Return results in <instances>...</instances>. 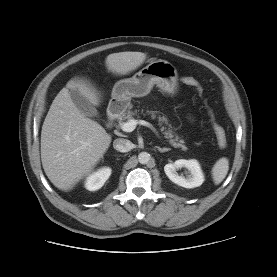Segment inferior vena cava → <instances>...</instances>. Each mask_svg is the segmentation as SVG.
Instances as JSON below:
<instances>
[{"label": "inferior vena cava", "mask_w": 277, "mask_h": 277, "mask_svg": "<svg viewBox=\"0 0 277 277\" xmlns=\"http://www.w3.org/2000/svg\"><path fill=\"white\" fill-rule=\"evenodd\" d=\"M113 147L114 149H116L117 151H120V152H128L130 151L131 149H133L134 147V144L127 140V139H124V138H117L114 140L113 142Z\"/></svg>", "instance_id": "obj_1"}]
</instances>
